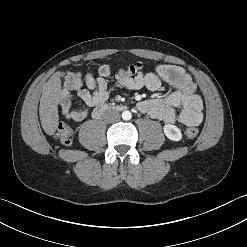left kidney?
<instances>
[{"instance_id": "obj_1", "label": "left kidney", "mask_w": 247, "mask_h": 247, "mask_svg": "<svg viewBox=\"0 0 247 247\" xmlns=\"http://www.w3.org/2000/svg\"><path fill=\"white\" fill-rule=\"evenodd\" d=\"M166 137L172 141H180L182 139V133L180 129L172 124H166L163 127Z\"/></svg>"}]
</instances>
